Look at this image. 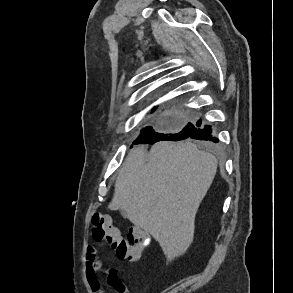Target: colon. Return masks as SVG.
Here are the masks:
<instances>
[{
	"mask_svg": "<svg viewBox=\"0 0 293 293\" xmlns=\"http://www.w3.org/2000/svg\"><path fill=\"white\" fill-rule=\"evenodd\" d=\"M92 236L96 241L110 244L118 258L134 262L140 258L149 240L148 234L138 227H130L123 237L112 219L97 211L92 219Z\"/></svg>",
	"mask_w": 293,
	"mask_h": 293,
	"instance_id": "colon-1",
	"label": "colon"
}]
</instances>
